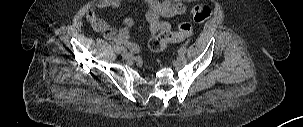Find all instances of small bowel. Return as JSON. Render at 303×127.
Segmentation results:
<instances>
[{
  "mask_svg": "<svg viewBox=\"0 0 303 127\" xmlns=\"http://www.w3.org/2000/svg\"><path fill=\"white\" fill-rule=\"evenodd\" d=\"M133 1V0H131ZM147 6L146 20L152 36L171 29L164 18H171L185 13V6L181 2L171 0H142ZM122 0H101L87 13V20L92 28L103 35L108 41H113L118 47H126L131 53L142 52L143 46L130 40V30L134 26L132 18H125L122 26L117 30L99 16L98 11L107 8H118Z\"/></svg>",
  "mask_w": 303,
  "mask_h": 127,
  "instance_id": "1",
  "label": "small bowel"
}]
</instances>
